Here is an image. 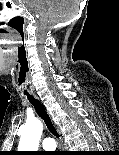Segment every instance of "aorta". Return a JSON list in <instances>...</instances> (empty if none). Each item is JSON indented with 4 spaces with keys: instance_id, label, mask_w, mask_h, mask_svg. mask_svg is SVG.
Instances as JSON below:
<instances>
[{
    "instance_id": "aorta-1",
    "label": "aorta",
    "mask_w": 119,
    "mask_h": 155,
    "mask_svg": "<svg viewBox=\"0 0 119 155\" xmlns=\"http://www.w3.org/2000/svg\"><path fill=\"white\" fill-rule=\"evenodd\" d=\"M43 124L38 119L27 121L22 127V135L18 149L20 151H37Z\"/></svg>"
}]
</instances>
